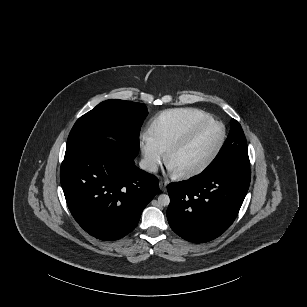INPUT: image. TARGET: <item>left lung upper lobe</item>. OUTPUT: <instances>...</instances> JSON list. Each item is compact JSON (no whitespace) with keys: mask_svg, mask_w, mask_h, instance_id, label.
Here are the masks:
<instances>
[{"mask_svg":"<svg viewBox=\"0 0 307 307\" xmlns=\"http://www.w3.org/2000/svg\"><path fill=\"white\" fill-rule=\"evenodd\" d=\"M236 165L249 168L247 142L240 124L232 119L227 140L211 164L202 172H210L223 166Z\"/></svg>","mask_w":307,"mask_h":307,"instance_id":"left-lung-upper-lobe-1","label":"left lung upper lobe"}]
</instances>
